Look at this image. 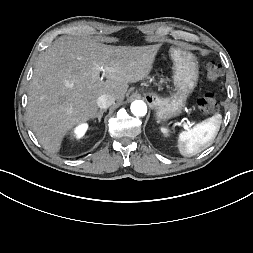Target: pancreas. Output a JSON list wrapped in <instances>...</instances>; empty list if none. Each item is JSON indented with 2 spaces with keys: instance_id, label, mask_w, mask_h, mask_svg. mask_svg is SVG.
<instances>
[{
  "instance_id": "pancreas-1",
  "label": "pancreas",
  "mask_w": 253,
  "mask_h": 253,
  "mask_svg": "<svg viewBox=\"0 0 253 253\" xmlns=\"http://www.w3.org/2000/svg\"><path fill=\"white\" fill-rule=\"evenodd\" d=\"M163 82H164V79L161 78V80L159 81L158 84H161V83H163Z\"/></svg>"
}]
</instances>
